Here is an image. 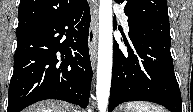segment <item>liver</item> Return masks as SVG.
I'll use <instances>...</instances> for the list:
<instances>
[{
    "label": "liver",
    "instance_id": "6515ba94",
    "mask_svg": "<svg viewBox=\"0 0 193 112\" xmlns=\"http://www.w3.org/2000/svg\"><path fill=\"white\" fill-rule=\"evenodd\" d=\"M70 111L71 107L68 104L59 101H44L24 110V112H70Z\"/></svg>",
    "mask_w": 193,
    "mask_h": 112
}]
</instances>
